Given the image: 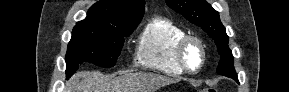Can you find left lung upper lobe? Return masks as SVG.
Instances as JSON below:
<instances>
[{
    "label": "left lung upper lobe",
    "instance_id": "obj_1",
    "mask_svg": "<svg viewBox=\"0 0 289 92\" xmlns=\"http://www.w3.org/2000/svg\"><path fill=\"white\" fill-rule=\"evenodd\" d=\"M167 5L188 21L201 27L214 40L220 61L217 73L237 80L234 57L228 46L229 37L219 19V13L205 0H165Z\"/></svg>",
    "mask_w": 289,
    "mask_h": 92
}]
</instances>
